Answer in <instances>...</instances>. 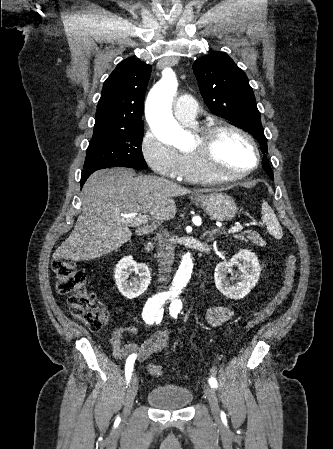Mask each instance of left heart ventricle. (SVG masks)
<instances>
[{"label": "left heart ventricle", "mask_w": 333, "mask_h": 449, "mask_svg": "<svg viewBox=\"0 0 333 449\" xmlns=\"http://www.w3.org/2000/svg\"><path fill=\"white\" fill-rule=\"evenodd\" d=\"M198 141L194 145L197 147ZM255 163V153L251 145L240 135L225 132L215 144L213 166L226 174H236L250 168Z\"/></svg>", "instance_id": "1"}]
</instances>
